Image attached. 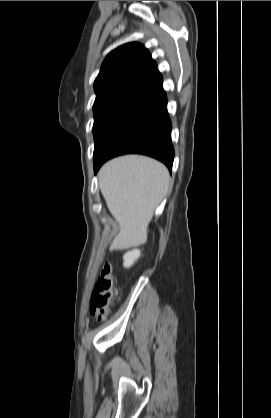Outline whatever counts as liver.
Returning a JSON list of instances; mask_svg holds the SVG:
<instances>
[{
    "label": "liver",
    "mask_w": 271,
    "mask_h": 418,
    "mask_svg": "<svg viewBox=\"0 0 271 418\" xmlns=\"http://www.w3.org/2000/svg\"><path fill=\"white\" fill-rule=\"evenodd\" d=\"M169 183L168 169L152 158L127 155L103 165L99 188L120 226L111 249L123 250L147 241L148 225Z\"/></svg>",
    "instance_id": "obj_1"
}]
</instances>
